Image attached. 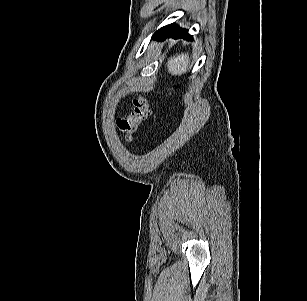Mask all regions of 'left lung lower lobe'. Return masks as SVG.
Masks as SVG:
<instances>
[{"label":"left lung lower lobe","mask_w":307,"mask_h":301,"mask_svg":"<svg viewBox=\"0 0 307 301\" xmlns=\"http://www.w3.org/2000/svg\"><path fill=\"white\" fill-rule=\"evenodd\" d=\"M168 37H173L175 39L183 38L186 40H191L192 36L188 33V30L179 28L176 24H169L167 26L162 27L158 31L153 34L152 38L157 40H164Z\"/></svg>","instance_id":"1"}]
</instances>
